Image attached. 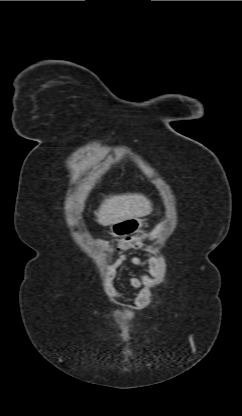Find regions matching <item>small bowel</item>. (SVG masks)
Here are the masks:
<instances>
[{
	"label": "small bowel",
	"instance_id": "1",
	"mask_svg": "<svg viewBox=\"0 0 242 416\" xmlns=\"http://www.w3.org/2000/svg\"><path fill=\"white\" fill-rule=\"evenodd\" d=\"M145 257L150 262L154 258V253L148 250L145 252ZM126 261H129L135 266L142 265V260L140 258L138 257L129 258L126 255H122L108 266L107 271H106L107 279L109 280L113 279L118 269ZM153 277H154L153 272L149 270L147 272H144L140 276L131 277L129 279V284L131 287L141 290V293L134 298H127L123 296L122 294L118 293L117 299L121 301L123 304H125V306L127 307L126 309L123 310L124 314L130 313L132 309L138 308L146 303L147 297H148L146 289L152 283Z\"/></svg>",
	"mask_w": 242,
	"mask_h": 416
}]
</instances>
